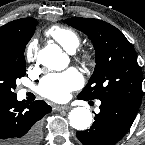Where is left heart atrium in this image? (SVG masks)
Instances as JSON below:
<instances>
[{"label":"left heart atrium","mask_w":145,"mask_h":145,"mask_svg":"<svg viewBox=\"0 0 145 145\" xmlns=\"http://www.w3.org/2000/svg\"><path fill=\"white\" fill-rule=\"evenodd\" d=\"M83 83L81 74L74 68L59 74L46 76L39 87V92L46 98L55 101H65L71 91L79 88Z\"/></svg>","instance_id":"1"}]
</instances>
